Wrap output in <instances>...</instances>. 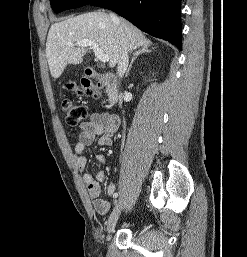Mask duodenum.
I'll use <instances>...</instances> for the list:
<instances>
[{"mask_svg":"<svg viewBox=\"0 0 247 257\" xmlns=\"http://www.w3.org/2000/svg\"><path fill=\"white\" fill-rule=\"evenodd\" d=\"M86 74L95 78L105 87L107 102L109 106H113L118 98V80L116 76L111 73H97L92 68H87Z\"/></svg>","mask_w":247,"mask_h":257,"instance_id":"410a0bca","label":"duodenum"}]
</instances>
